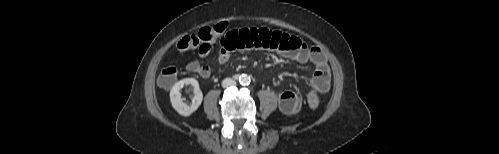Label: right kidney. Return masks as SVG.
Listing matches in <instances>:
<instances>
[{
	"label": "right kidney",
	"mask_w": 499,
	"mask_h": 154,
	"mask_svg": "<svg viewBox=\"0 0 499 154\" xmlns=\"http://www.w3.org/2000/svg\"><path fill=\"white\" fill-rule=\"evenodd\" d=\"M184 85H191L194 91V97L192 99V103L190 105L183 102L181 98L180 90L184 87ZM203 100V93L199 88V83L194 78H185L174 84L170 91V101L172 107L182 116H190L194 113L199 106L201 105Z\"/></svg>",
	"instance_id": "ca27d5eb"
}]
</instances>
